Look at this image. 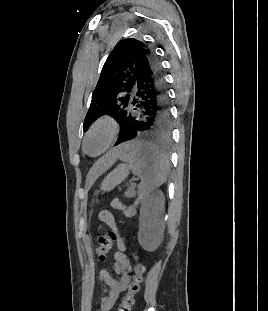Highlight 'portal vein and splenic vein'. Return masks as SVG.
I'll return each mask as SVG.
<instances>
[{"label":"portal vein and splenic vein","instance_id":"portal-vein-and-splenic-vein-1","mask_svg":"<svg viewBox=\"0 0 268 311\" xmlns=\"http://www.w3.org/2000/svg\"><path fill=\"white\" fill-rule=\"evenodd\" d=\"M125 195L131 196L132 194H131V192H126Z\"/></svg>","mask_w":268,"mask_h":311}]
</instances>
